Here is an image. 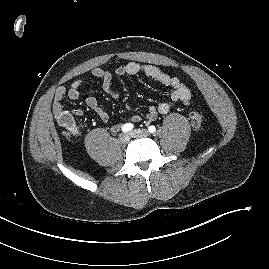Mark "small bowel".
Returning <instances> with one entry per match:
<instances>
[{
	"mask_svg": "<svg viewBox=\"0 0 269 269\" xmlns=\"http://www.w3.org/2000/svg\"><path fill=\"white\" fill-rule=\"evenodd\" d=\"M115 73L119 76L129 75L134 76L138 74H144L150 79L166 86L171 89L169 100L162 102L157 106H151L148 109L147 118L149 120H155L158 115H165L171 111L175 104L181 103L185 106L190 104L191 91L190 89L177 77L171 76L158 67L150 64H141L138 62H129L127 64L120 65L116 68ZM92 76L102 81L103 90L110 96L116 98L117 92L112 85V74L104 69L95 68L92 71ZM84 78H79L72 82L69 88L60 86L57 88L54 100L52 104L53 115L58 123L63 126L67 132L72 136H78L80 134L78 126L75 124L74 117L82 116L83 111L81 109H75L67 111L63 108L62 101L65 96L71 100H78L80 97V88L84 83ZM87 106L93 110L97 116L103 122L109 121V113L104 110L98 103L96 97L88 96L86 98ZM68 117L69 122H65L64 118ZM141 116L136 114L132 117L133 122H139ZM120 129L119 124H115L111 127L112 132H118Z\"/></svg>",
	"mask_w": 269,
	"mask_h": 269,
	"instance_id": "small-bowel-1",
	"label": "small bowel"
}]
</instances>
